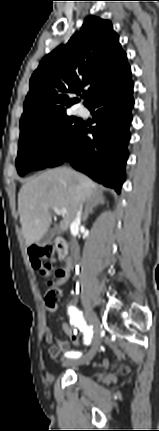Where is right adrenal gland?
Segmentation results:
<instances>
[{"label":"right adrenal gland","instance_id":"2a0ac1e0","mask_svg":"<svg viewBox=\"0 0 159 431\" xmlns=\"http://www.w3.org/2000/svg\"><path fill=\"white\" fill-rule=\"evenodd\" d=\"M105 198L103 196V194L101 193H95L92 198L89 200L86 209H85V213L83 216V220L85 221L90 213H93V208L95 206H97L98 204H105Z\"/></svg>","mask_w":159,"mask_h":431}]
</instances>
